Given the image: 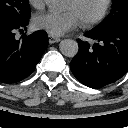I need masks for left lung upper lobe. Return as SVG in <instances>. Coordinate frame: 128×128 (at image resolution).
Instances as JSON below:
<instances>
[{
    "mask_svg": "<svg viewBox=\"0 0 128 128\" xmlns=\"http://www.w3.org/2000/svg\"><path fill=\"white\" fill-rule=\"evenodd\" d=\"M125 24H128V0H113L111 13L94 30L103 32Z\"/></svg>",
    "mask_w": 128,
    "mask_h": 128,
    "instance_id": "obj_1",
    "label": "left lung upper lobe"
}]
</instances>
